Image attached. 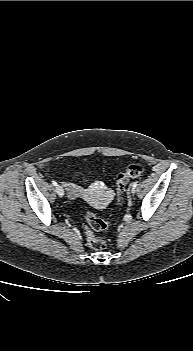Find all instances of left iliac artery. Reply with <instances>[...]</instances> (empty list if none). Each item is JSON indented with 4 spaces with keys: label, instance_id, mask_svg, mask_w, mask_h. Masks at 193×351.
I'll list each match as a JSON object with an SVG mask.
<instances>
[{
    "label": "left iliac artery",
    "instance_id": "left-iliac-artery-1",
    "mask_svg": "<svg viewBox=\"0 0 193 351\" xmlns=\"http://www.w3.org/2000/svg\"><path fill=\"white\" fill-rule=\"evenodd\" d=\"M137 185H138L137 182H134L132 186H133L134 188H136Z\"/></svg>",
    "mask_w": 193,
    "mask_h": 351
}]
</instances>
